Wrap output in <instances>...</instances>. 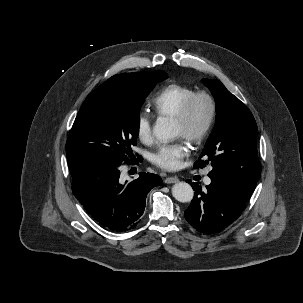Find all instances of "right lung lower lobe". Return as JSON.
Here are the masks:
<instances>
[{
    "mask_svg": "<svg viewBox=\"0 0 303 303\" xmlns=\"http://www.w3.org/2000/svg\"><path fill=\"white\" fill-rule=\"evenodd\" d=\"M71 175L74 196L97 222L115 232L129 231L138 224L148 192L162 184L159 176L145 172L121 184L118 166L98 162Z\"/></svg>",
    "mask_w": 303,
    "mask_h": 303,
    "instance_id": "1",
    "label": "right lung lower lobe"
}]
</instances>
